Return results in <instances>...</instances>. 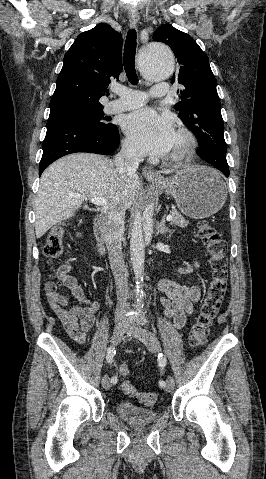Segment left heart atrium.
I'll return each instance as SVG.
<instances>
[{
    "label": "left heart atrium",
    "instance_id": "39dd6f15",
    "mask_svg": "<svg viewBox=\"0 0 266 479\" xmlns=\"http://www.w3.org/2000/svg\"><path fill=\"white\" fill-rule=\"evenodd\" d=\"M123 129L139 151L158 156L169 153L176 135L172 121L150 108L126 115Z\"/></svg>",
    "mask_w": 266,
    "mask_h": 479
}]
</instances>
